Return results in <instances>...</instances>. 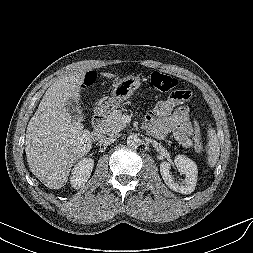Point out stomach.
Segmentation results:
<instances>
[{
	"mask_svg": "<svg viewBox=\"0 0 253 253\" xmlns=\"http://www.w3.org/2000/svg\"><path fill=\"white\" fill-rule=\"evenodd\" d=\"M141 86V79L138 76H127L116 82L111 91V97L97 107L100 114H111L120 104L129 99Z\"/></svg>",
	"mask_w": 253,
	"mask_h": 253,
	"instance_id": "obj_1",
	"label": "stomach"
}]
</instances>
